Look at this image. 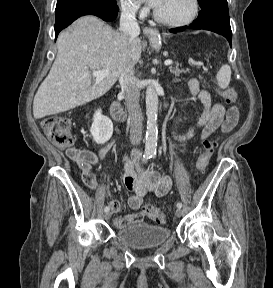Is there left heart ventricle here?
I'll use <instances>...</instances> for the list:
<instances>
[{
  "label": "left heart ventricle",
  "mask_w": 273,
  "mask_h": 288,
  "mask_svg": "<svg viewBox=\"0 0 273 288\" xmlns=\"http://www.w3.org/2000/svg\"><path fill=\"white\" fill-rule=\"evenodd\" d=\"M155 9L165 19L183 20L192 13L193 2L192 0H159Z\"/></svg>",
  "instance_id": "b2bd125f"
}]
</instances>
